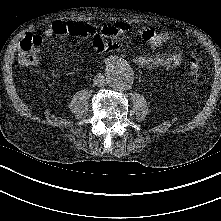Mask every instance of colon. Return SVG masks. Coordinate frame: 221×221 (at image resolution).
<instances>
[{
    "label": "colon",
    "mask_w": 221,
    "mask_h": 221,
    "mask_svg": "<svg viewBox=\"0 0 221 221\" xmlns=\"http://www.w3.org/2000/svg\"><path fill=\"white\" fill-rule=\"evenodd\" d=\"M41 40L36 35L28 34L20 42L18 49V62L24 66H34L39 60V48ZM188 70L191 76L198 82L201 81V65L196 58L188 62Z\"/></svg>",
    "instance_id": "1"
}]
</instances>
